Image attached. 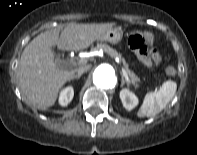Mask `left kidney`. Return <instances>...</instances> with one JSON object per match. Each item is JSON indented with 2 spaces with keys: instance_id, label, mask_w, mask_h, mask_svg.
Segmentation results:
<instances>
[{
  "instance_id": "left-kidney-1",
  "label": "left kidney",
  "mask_w": 197,
  "mask_h": 155,
  "mask_svg": "<svg viewBox=\"0 0 197 155\" xmlns=\"http://www.w3.org/2000/svg\"><path fill=\"white\" fill-rule=\"evenodd\" d=\"M120 99L126 110L130 111L138 104V98L130 90L124 88L120 91Z\"/></svg>"
}]
</instances>
